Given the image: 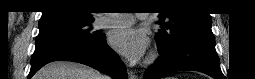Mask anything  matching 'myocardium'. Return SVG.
I'll return each mask as SVG.
<instances>
[{"instance_id": "myocardium-1", "label": "myocardium", "mask_w": 255, "mask_h": 79, "mask_svg": "<svg viewBox=\"0 0 255 79\" xmlns=\"http://www.w3.org/2000/svg\"><path fill=\"white\" fill-rule=\"evenodd\" d=\"M156 60V54L152 53L148 58V63H153Z\"/></svg>"}]
</instances>
